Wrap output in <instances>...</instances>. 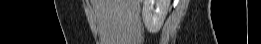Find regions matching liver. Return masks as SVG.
Returning <instances> with one entry per match:
<instances>
[{
	"mask_svg": "<svg viewBox=\"0 0 261 44\" xmlns=\"http://www.w3.org/2000/svg\"><path fill=\"white\" fill-rule=\"evenodd\" d=\"M101 44L140 42V0H91Z\"/></svg>",
	"mask_w": 261,
	"mask_h": 44,
	"instance_id": "obj_1",
	"label": "liver"
}]
</instances>
